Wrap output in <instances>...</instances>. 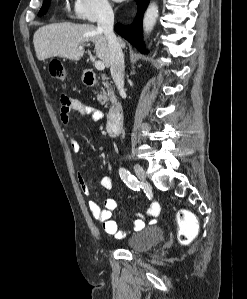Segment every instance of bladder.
<instances>
[{
	"label": "bladder",
	"instance_id": "bladder-1",
	"mask_svg": "<svg viewBox=\"0 0 247 299\" xmlns=\"http://www.w3.org/2000/svg\"><path fill=\"white\" fill-rule=\"evenodd\" d=\"M164 236L162 228L157 226L144 228L132 234L125 242L126 248L135 252H144L156 246Z\"/></svg>",
	"mask_w": 247,
	"mask_h": 299
}]
</instances>
